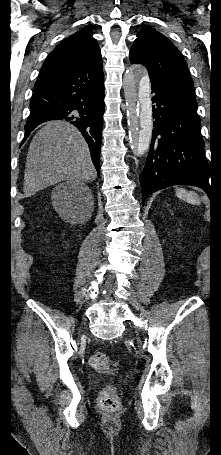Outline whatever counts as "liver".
<instances>
[{
  "label": "liver",
  "mask_w": 221,
  "mask_h": 455,
  "mask_svg": "<svg viewBox=\"0 0 221 455\" xmlns=\"http://www.w3.org/2000/svg\"><path fill=\"white\" fill-rule=\"evenodd\" d=\"M97 173L75 126L50 121L33 137L26 158L24 197L64 180L92 181Z\"/></svg>",
  "instance_id": "1"
}]
</instances>
